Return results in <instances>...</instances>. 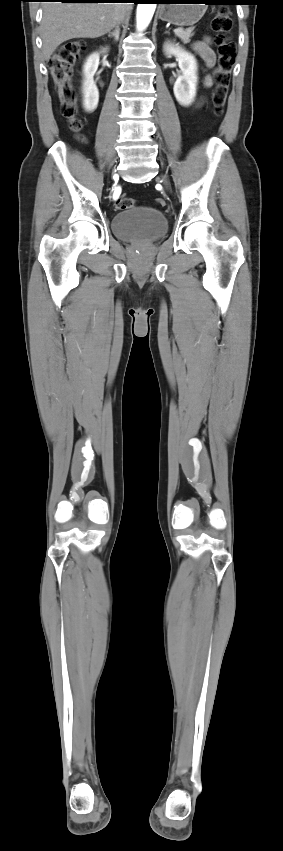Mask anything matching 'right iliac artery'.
<instances>
[{"mask_svg":"<svg viewBox=\"0 0 283 851\" xmlns=\"http://www.w3.org/2000/svg\"><path fill=\"white\" fill-rule=\"evenodd\" d=\"M118 195H119V196H123V191H121L119 188H118V189H117V191L114 193V198H116Z\"/></svg>","mask_w":283,"mask_h":851,"instance_id":"right-iliac-artery-1","label":"right iliac artery"}]
</instances>
